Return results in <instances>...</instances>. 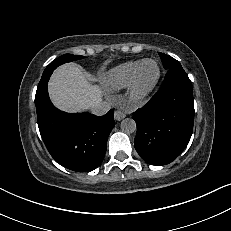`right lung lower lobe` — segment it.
I'll list each match as a JSON object with an SVG mask.
<instances>
[{"instance_id": "obj_1", "label": "right lung lower lobe", "mask_w": 231, "mask_h": 231, "mask_svg": "<svg viewBox=\"0 0 231 231\" xmlns=\"http://www.w3.org/2000/svg\"><path fill=\"white\" fill-rule=\"evenodd\" d=\"M55 68L47 67L37 87L35 104L39 131L51 156L64 167L89 172L103 160L115 126L113 110L104 116L65 113L51 103L47 83Z\"/></svg>"}]
</instances>
